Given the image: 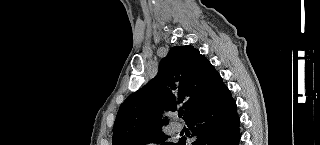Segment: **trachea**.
I'll list each match as a JSON object with an SVG mask.
<instances>
[{"mask_svg":"<svg viewBox=\"0 0 320 145\" xmlns=\"http://www.w3.org/2000/svg\"><path fill=\"white\" fill-rule=\"evenodd\" d=\"M182 115H183V111H179V112H178V116H179V117H182Z\"/></svg>","mask_w":320,"mask_h":145,"instance_id":"obj_1","label":"trachea"}]
</instances>
